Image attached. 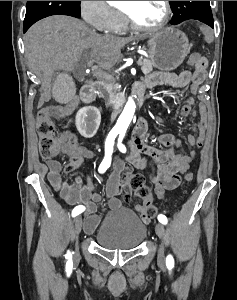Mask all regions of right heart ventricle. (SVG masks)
Returning <instances> with one entry per match:
<instances>
[{"mask_svg": "<svg viewBox=\"0 0 237 300\" xmlns=\"http://www.w3.org/2000/svg\"><path fill=\"white\" fill-rule=\"evenodd\" d=\"M127 29V23L125 22L123 16H121L119 14V26H118V30L119 31H124Z\"/></svg>", "mask_w": 237, "mask_h": 300, "instance_id": "1", "label": "right heart ventricle"}]
</instances>
